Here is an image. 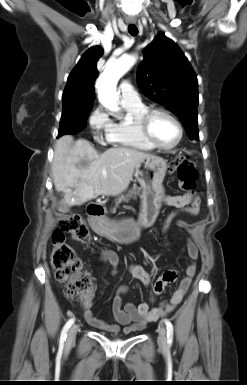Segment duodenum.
<instances>
[{"label":"duodenum","mask_w":247,"mask_h":385,"mask_svg":"<svg viewBox=\"0 0 247 385\" xmlns=\"http://www.w3.org/2000/svg\"><path fill=\"white\" fill-rule=\"evenodd\" d=\"M87 213L92 217L93 221L91 223L92 228L96 232H101L102 219L105 214L104 209L101 204L97 202H91L88 204Z\"/></svg>","instance_id":"1"}]
</instances>
